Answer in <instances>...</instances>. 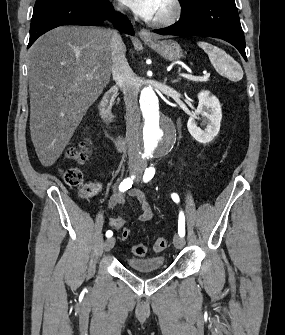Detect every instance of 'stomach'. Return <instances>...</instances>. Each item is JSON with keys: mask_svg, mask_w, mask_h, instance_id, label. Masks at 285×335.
<instances>
[{"mask_svg": "<svg viewBox=\"0 0 285 335\" xmlns=\"http://www.w3.org/2000/svg\"><path fill=\"white\" fill-rule=\"evenodd\" d=\"M145 44L169 62H177L183 56L182 48L174 40H162V42H154L153 40V42H145Z\"/></svg>", "mask_w": 285, "mask_h": 335, "instance_id": "0dacf381", "label": "stomach"}]
</instances>
